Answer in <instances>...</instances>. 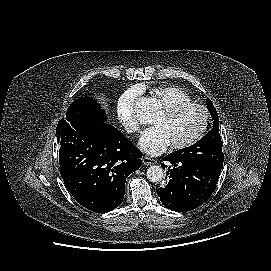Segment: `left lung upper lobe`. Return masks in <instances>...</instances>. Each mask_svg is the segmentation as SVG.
Returning <instances> with one entry per match:
<instances>
[{"instance_id":"left-lung-upper-lobe-1","label":"left lung upper lobe","mask_w":271,"mask_h":271,"mask_svg":"<svg viewBox=\"0 0 271 271\" xmlns=\"http://www.w3.org/2000/svg\"><path fill=\"white\" fill-rule=\"evenodd\" d=\"M207 108L213 119V128L198 142L190 147L173 152L176 157L198 163L213 173L220 175L224 161L222 141L219 134V118L210 99L206 101Z\"/></svg>"}]
</instances>
